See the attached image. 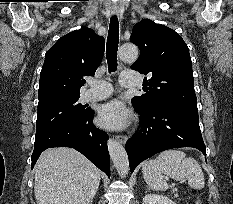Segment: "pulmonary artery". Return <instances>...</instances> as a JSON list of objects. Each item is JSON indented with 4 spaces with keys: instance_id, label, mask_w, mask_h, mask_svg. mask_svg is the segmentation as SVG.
<instances>
[{
    "instance_id": "1",
    "label": "pulmonary artery",
    "mask_w": 233,
    "mask_h": 204,
    "mask_svg": "<svg viewBox=\"0 0 233 204\" xmlns=\"http://www.w3.org/2000/svg\"><path fill=\"white\" fill-rule=\"evenodd\" d=\"M139 83L137 75L134 73H123L120 77V84L123 87L135 86ZM90 88L83 94L84 101H96L109 97L112 94V87L106 81L92 80L89 82Z\"/></svg>"
}]
</instances>
